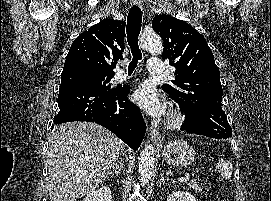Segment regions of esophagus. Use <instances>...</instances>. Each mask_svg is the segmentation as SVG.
<instances>
[{"mask_svg": "<svg viewBox=\"0 0 271 201\" xmlns=\"http://www.w3.org/2000/svg\"><path fill=\"white\" fill-rule=\"evenodd\" d=\"M132 2L138 6H142L143 4V0H132ZM150 138L154 143L161 144L162 142V134L157 129L151 130Z\"/></svg>", "mask_w": 271, "mask_h": 201, "instance_id": "1", "label": "esophagus"}]
</instances>
